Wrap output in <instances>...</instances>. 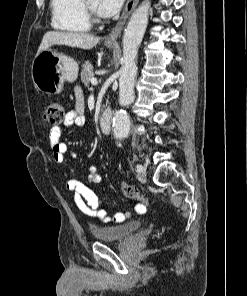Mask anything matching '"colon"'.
<instances>
[{"instance_id":"colon-1","label":"colon","mask_w":247,"mask_h":296,"mask_svg":"<svg viewBox=\"0 0 247 296\" xmlns=\"http://www.w3.org/2000/svg\"><path fill=\"white\" fill-rule=\"evenodd\" d=\"M44 116L46 122L49 125L58 126L62 124L65 119V111L61 104L57 102H51L47 105ZM121 189L125 197L140 201L141 203L146 205L149 204V199L143 196L136 187L126 182H121Z\"/></svg>"}]
</instances>
